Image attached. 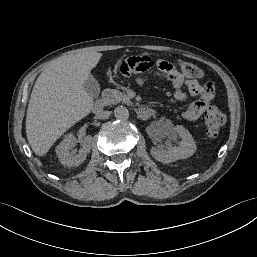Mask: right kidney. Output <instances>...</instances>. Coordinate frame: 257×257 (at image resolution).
<instances>
[{"label":"right kidney","mask_w":257,"mask_h":257,"mask_svg":"<svg viewBox=\"0 0 257 257\" xmlns=\"http://www.w3.org/2000/svg\"><path fill=\"white\" fill-rule=\"evenodd\" d=\"M75 142V136L68 134L57 146L56 153L61 164L66 166H79L85 161L91 149L92 137L88 135L81 140L82 148L78 153L73 150Z\"/></svg>","instance_id":"1"}]
</instances>
